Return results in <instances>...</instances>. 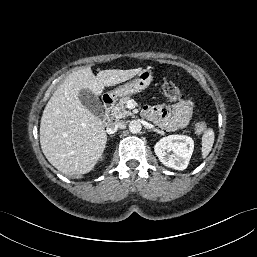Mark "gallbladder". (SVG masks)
<instances>
[{
	"label": "gallbladder",
	"instance_id": "obj_1",
	"mask_svg": "<svg viewBox=\"0 0 257 257\" xmlns=\"http://www.w3.org/2000/svg\"><path fill=\"white\" fill-rule=\"evenodd\" d=\"M79 100L81 101L82 105L96 117L101 118L103 116V104L95 94L88 90L82 89L79 93Z\"/></svg>",
	"mask_w": 257,
	"mask_h": 257
}]
</instances>
